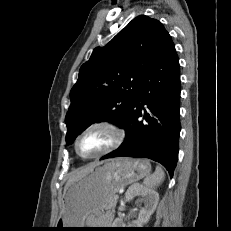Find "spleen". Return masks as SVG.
<instances>
[{"label":"spleen","instance_id":"spleen-1","mask_svg":"<svg viewBox=\"0 0 231 231\" xmlns=\"http://www.w3.org/2000/svg\"><path fill=\"white\" fill-rule=\"evenodd\" d=\"M164 178H165V173L163 169L160 166H157L155 172L151 175H148L144 179L143 183L145 184V186L149 188H155L163 182Z\"/></svg>","mask_w":231,"mask_h":231}]
</instances>
